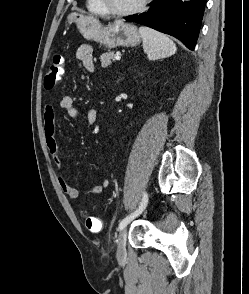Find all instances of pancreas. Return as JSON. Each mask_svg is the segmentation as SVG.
<instances>
[{"label": "pancreas", "instance_id": "obj_1", "mask_svg": "<svg viewBox=\"0 0 249 294\" xmlns=\"http://www.w3.org/2000/svg\"><path fill=\"white\" fill-rule=\"evenodd\" d=\"M115 57V54L113 51L111 52H106V53H103L100 57L101 59V64H102V67L103 68H107L111 65V60Z\"/></svg>", "mask_w": 249, "mask_h": 294}]
</instances>
